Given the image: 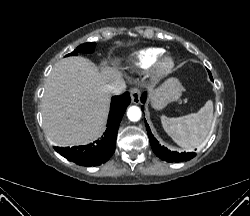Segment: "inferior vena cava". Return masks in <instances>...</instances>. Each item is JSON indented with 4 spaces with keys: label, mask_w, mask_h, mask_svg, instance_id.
I'll list each match as a JSON object with an SVG mask.
<instances>
[{
    "label": "inferior vena cava",
    "mask_w": 250,
    "mask_h": 216,
    "mask_svg": "<svg viewBox=\"0 0 250 216\" xmlns=\"http://www.w3.org/2000/svg\"><path fill=\"white\" fill-rule=\"evenodd\" d=\"M125 89H126V84L124 81H119L117 83L110 84L107 86L108 92L114 95H120L125 91Z\"/></svg>",
    "instance_id": "obj_1"
}]
</instances>
